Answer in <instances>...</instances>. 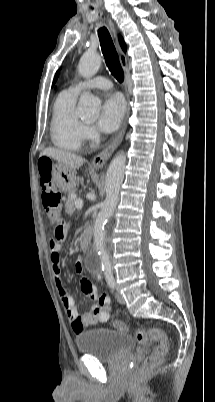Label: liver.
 Masks as SVG:
<instances>
[{"mask_svg": "<svg viewBox=\"0 0 215 402\" xmlns=\"http://www.w3.org/2000/svg\"><path fill=\"white\" fill-rule=\"evenodd\" d=\"M42 156H48L53 158L54 160L64 164L65 166L69 167L70 169H78L83 165L85 162V159L70 153L66 152L60 149H55V148H46L40 153V157Z\"/></svg>", "mask_w": 215, "mask_h": 402, "instance_id": "1", "label": "liver"}]
</instances>
